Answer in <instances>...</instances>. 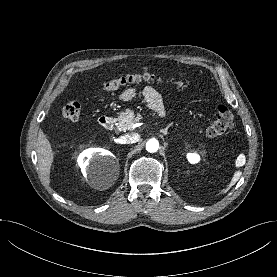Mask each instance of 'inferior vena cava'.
<instances>
[{"label":"inferior vena cava","instance_id":"1","mask_svg":"<svg viewBox=\"0 0 277 277\" xmlns=\"http://www.w3.org/2000/svg\"><path fill=\"white\" fill-rule=\"evenodd\" d=\"M139 140V136L136 133L126 134L121 136V143L123 144H132L136 143Z\"/></svg>","mask_w":277,"mask_h":277}]
</instances>
